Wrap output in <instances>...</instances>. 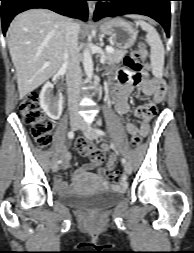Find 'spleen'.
Returning a JSON list of instances; mask_svg holds the SVG:
<instances>
[{"instance_id":"spleen-1","label":"spleen","mask_w":194,"mask_h":253,"mask_svg":"<svg viewBox=\"0 0 194 253\" xmlns=\"http://www.w3.org/2000/svg\"><path fill=\"white\" fill-rule=\"evenodd\" d=\"M136 25L140 26L147 33L146 42L150 46L152 74L157 78H162L164 67V46L160 36L153 26L143 20L136 21Z\"/></svg>"}]
</instances>
